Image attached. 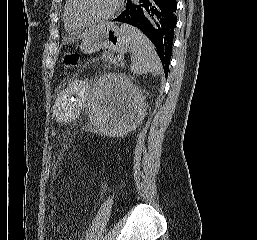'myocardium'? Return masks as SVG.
Segmentation results:
<instances>
[{
	"label": "myocardium",
	"instance_id": "obj_1",
	"mask_svg": "<svg viewBox=\"0 0 257 240\" xmlns=\"http://www.w3.org/2000/svg\"><path fill=\"white\" fill-rule=\"evenodd\" d=\"M121 1L122 0H115V4H114L113 8L111 9V11L109 13H107L106 15L98 17V18H87V17L82 16L78 11V0H70V12H71L73 19L76 22H78L82 25H85V26H92V25H96V24H100L105 21H108L112 17H114V15L117 13V11L120 8Z\"/></svg>",
	"mask_w": 257,
	"mask_h": 240
}]
</instances>
